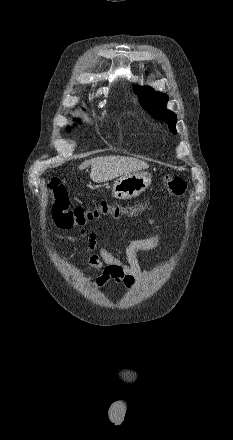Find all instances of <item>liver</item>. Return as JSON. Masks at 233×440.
Listing matches in <instances>:
<instances>
[{
  "mask_svg": "<svg viewBox=\"0 0 233 440\" xmlns=\"http://www.w3.org/2000/svg\"><path fill=\"white\" fill-rule=\"evenodd\" d=\"M91 165L90 179L96 183L107 182L119 176L148 169L149 165L136 158L125 156H100L84 161L79 170Z\"/></svg>",
  "mask_w": 233,
  "mask_h": 440,
  "instance_id": "1",
  "label": "liver"
}]
</instances>
